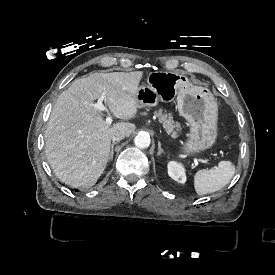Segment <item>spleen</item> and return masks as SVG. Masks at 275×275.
Returning <instances> with one entry per match:
<instances>
[{
	"mask_svg": "<svg viewBox=\"0 0 275 275\" xmlns=\"http://www.w3.org/2000/svg\"><path fill=\"white\" fill-rule=\"evenodd\" d=\"M234 173L235 167L230 161H220L218 167L197 171L194 176L196 193L204 195L221 190L230 182Z\"/></svg>",
	"mask_w": 275,
	"mask_h": 275,
	"instance_id": "obj_1",
	"label": "spleen"
}]
</instances>
